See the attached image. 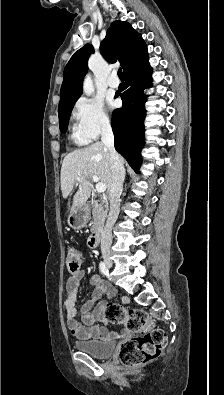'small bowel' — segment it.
I'll use <instances>...</instances> for the list:
<instances>
[{
	"instance_id": "small-bowel-1",
	"label": "small bowel",
	"mask_w": 224,
	"mask_h": 395,
	"mask_svg": "<svg viewBox=\"0 0 224 395\" xmlns=\"http://www.w3.org/2000/svg\"><path fill=\"white\" fill-rule=\"evenodd\" d=\"M85 277V271L79 270L71 275L66 282V299L64 310L66 314L67 327L71 334L78 339L107 338V330L99 323H105L106 301L101 300L104 294L112 296L115 288L104 281L100 276L93 275L90 278L92 292L89 299L81 306V320L78 319L76 301L78 293ZM123 302H128L123 298Z\"/></svg>"
}]
</instances>
